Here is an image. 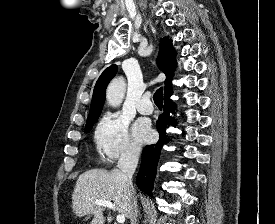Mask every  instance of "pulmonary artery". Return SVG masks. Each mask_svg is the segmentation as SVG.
<instances>
[{"mask_svg": "<svg viewBox=\"0 0 275 224\" xmlns=\"http://www.w3.org/2000/svg\"><path fill=\"white\" fill-rule=\"evenodd\" d=\"M137 109L141 114L149 115L153 112V104L150 100V96L145 94L137 104Z\"/></svg>", "mask_w": 275, "mask_h": 224, "instance_id": "pulmonary-artery-1", "label": "pulmonary artery"}]
</instances>
